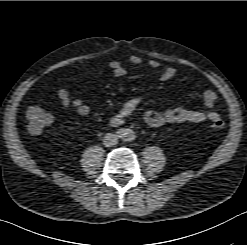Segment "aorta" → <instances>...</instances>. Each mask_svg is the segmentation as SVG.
Listing matches in <instances>:
<instances>
[{"label": "aorta", "mask_w": 247, "mask_h": 245, "mask_svg": "<svg viewBox=\"0 0 247 245\" xmlns=\"http://www.w3.org/2000/svg\"><path fill=\"white\" fill-rule=\"evenodd\" d=\"M120 137L125 141H132L135 139V132L131 129H123L120 133Z\"/></svg>", "instance_id": "aorta-1"}]
</instances>
